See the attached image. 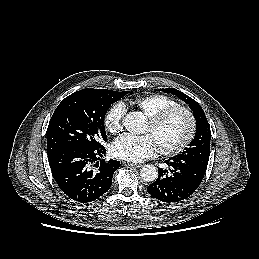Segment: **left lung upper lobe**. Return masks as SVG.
Listing matches in <instances>:
<instances>
[{
  "mask_svg": "<svg viewBox=\"0 0 259 259\" xmlns=\"http://www.w3.org/2000/svg\"><path fill=\"white\" fill-rule=\"evenodd\" d=\"M160 90L165 93L174 94L185 101L192 109L196 120L195 138L189 144V148H186L184 152L176 155L175 157L189 159L199 165L207 167L210 153L211 131L203 109L195 100L180 92L179 90H176L175 88H166Z\"/></svg>",
  "mask_w": 259,
  "mask_h": 259,
  "instance_id": "obj_1",
  "label": "left lung upper lobe"
}]
</instances>
